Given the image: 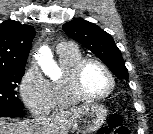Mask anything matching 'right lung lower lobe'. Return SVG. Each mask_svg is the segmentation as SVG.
I'll return each instance as SVG.
<instances>
[{
  "mask_svg": "<svg viewBox=\"0 0 153 134\" xmlns=\"http://www.w3.org/2000/svg\"><path fill=\"white\" fill-rule=\"evenodd\" d=\"M24 113L21 109L0 108V117H22Z\"/></svg>",
  "mask_w": 153,
  "mask_h": 134,
  "instance_id": "right-lung-lower-lobe-1",
  "label": "right lung lower lobe"
}]
</instances>
